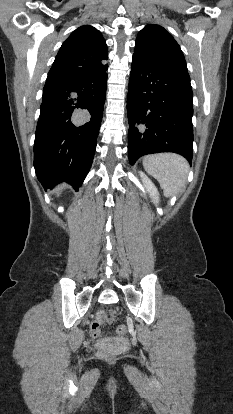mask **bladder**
Segmentation results:
<instances>
[{"label":"bladder","instance_id":"bladder-1","mask_svg":"<svg viewBox=\"0 0 233 414\" xmlns=\"http://www.w3.org/2000/svg\"><path fill=\"white\" fill-rule=\"evenodd\" d=\"M123 343H122V341L121 340H118V339H111V340H108L107 341V343H106V346L107 347H117V346H121Z\"/></svg>","mask_w":233,"mask_h":414}]
</instances>
